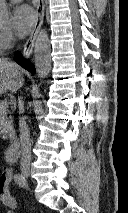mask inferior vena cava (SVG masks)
Listing matches in <instances>:
<instances>
[{
	"mask_svg": "<svg viewBox=\"0 0 128 213\" xmlns=\"http://www.w3.org/2000/svg\"><path fill=\"white\" fill-rule=\"evenodd\" d=\"M5 60H8V59L5 58ZM11 64L15 65L14 63H11ZM18 107H19V113L23 114L24 103L20 97L18 98ZM19 129H20V142H21V151H22L21 166L28 167L31 162V144H30L29 128L24 116L19 117Z\"/></svg>",
	"mask_w": 128,
	"mask_h": 213,
	"instance_id": "obj_1",
	"label": "inferior vena cava"
}]
</instances>
